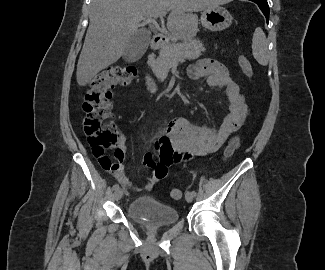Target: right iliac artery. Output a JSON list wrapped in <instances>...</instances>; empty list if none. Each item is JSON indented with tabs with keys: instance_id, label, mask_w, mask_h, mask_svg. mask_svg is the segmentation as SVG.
<instances>
[{
	"instance_id": "obj_1",
	"label": "right iliac artery",
	"mask_w": 325,
	"mask_h": 270,
	"mask_svg": "<svg viewBox=\"0 0 325 270\" xmlns=\"http://www.w3.org/2000/svg\"><path fill=\"white\" fill-rule=\"evenodd\" d=\"M113 190H117V189H119V185L118 184H115V185H113Z\"/></svg>"
}]
</instances>
